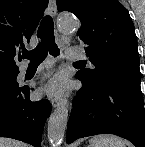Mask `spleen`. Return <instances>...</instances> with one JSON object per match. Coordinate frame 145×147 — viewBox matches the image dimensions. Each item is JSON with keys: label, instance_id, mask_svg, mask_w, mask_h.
I'll list each match as a JSON object with an SVG mask.
<instances>
[{"label": "spleen", "instance_id": "obj_1", "mask_svg": "<svg viewBox=\"0 0 145 147\" xmlns=\"http://www.w3.org/2000/svg\"><path fill=\"white\" fill-rule=\"evenodd\" d=\"M90 147H126L125 142L113 135H98L90 140Z\"/></svg>", "mask_w": 145, "mask_h": 147}]
</instances>
